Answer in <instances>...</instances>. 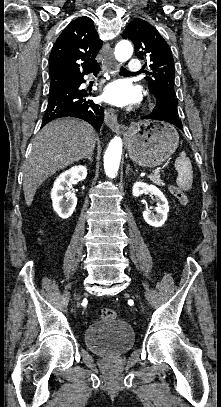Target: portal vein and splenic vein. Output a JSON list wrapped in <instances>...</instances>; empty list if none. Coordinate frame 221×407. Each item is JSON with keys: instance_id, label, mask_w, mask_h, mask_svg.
<instances>
[{"instance_id": "1", "label": "portal vein and splenic vein", "mask_w": 221, "mask_h": 407, "mask_svg": "<svg viewBox=\"0 0 221 407\" xmlns=\"http://www.w3.org/2000/svg\"><path fill=\"white\" fill-rule=\"evenodd\" d=\"M160 172V169L159 168H156V169H154L153 171H152V173H154V174H157V173H159Z\"/></svg>"}]
</instances>
